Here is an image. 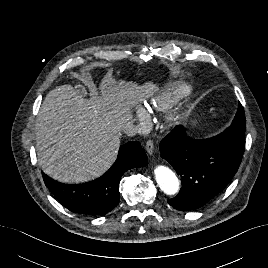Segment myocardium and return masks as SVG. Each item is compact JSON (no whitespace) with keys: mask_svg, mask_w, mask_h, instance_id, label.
<instances>
[{"mask_svg":"<svg viewBox=\"0 0 268 268\" xmlns=\"http://www.w3.org/2000/svg\"><path fill=\"white\" fill-rule=\"evenodd\" d=\"M176 118H177V113H173V114L170 115L169 120H170V121H173V120H175Z\"/></svg>","mask_w":268,"mask_h":268,"instance_id":"obj_1","label":"myocardium"}]
</instances>
